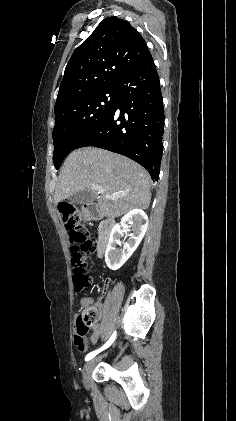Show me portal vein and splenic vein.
Masks as SVG:
<instances>
[{"label": "portal vein and splenic vein", "mask_w": 236, "mask_h": 421, "mask_svg": "<svg viewBox=\"0 0 236 421\" xmlns=\"http://www.w3.org/2000/svg\"><path fill=\"white\" fill-rule=\"evenodd\" d=\"M91 188H96V190H104L101 184H92ZM121 196H125V194H108L106 198H110V200H117V198H121Z\"/></svg>", "instance_id": "1"}]
</instances>
